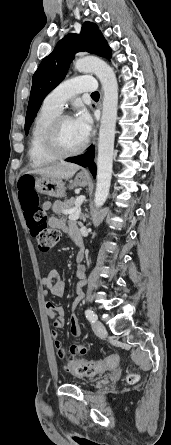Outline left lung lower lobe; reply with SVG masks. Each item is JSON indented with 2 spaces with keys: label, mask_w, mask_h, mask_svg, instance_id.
<instances>
[{
  "label": "left lung lower lobe",
  "mask_w": 171,
  "mask_h": 445,
  "mask_svg": "<svg viewBox=\"0 0 171 445\" xmlns=\"http://www.w3.org/2000/svg\"><path fill=\"white\" fill-rule=\"evenodd\" d=\"M94 155H95V149H94V146L91 145L84 154H82L80 156L68 158V159H66V161L79 164L83 167L89 166L90 171L92 172L93 176L95 177L96 176V165L93 163Z\"/></svg>",
  "instance_id": "0a47b994"
}]
</instances>
